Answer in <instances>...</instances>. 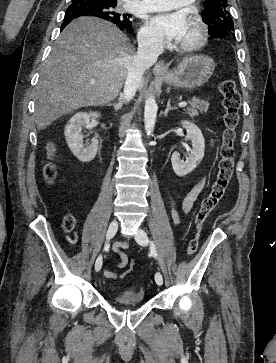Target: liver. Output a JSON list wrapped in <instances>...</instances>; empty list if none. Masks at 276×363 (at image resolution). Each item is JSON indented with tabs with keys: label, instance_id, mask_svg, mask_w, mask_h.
Here are the masks:
<instances>
[{
	"label": "liver",
	"instance_id": "liver-1",
	"mask_svg": "<svg viewBox=\"0 0 276 363\" xmlns=\"http://www.w3.org/2000/svg\"><path fill=\"white\" fill-rule=\"evenodd\" d=\"M133 56L129 39L113 23L95 17L72 21L40 70L35 95L37 128L43 130L82 107L113 101L126 81Z\"/></svg>",
	"mask_w": 276,
	"mask_h": 363
}]
</instances>
